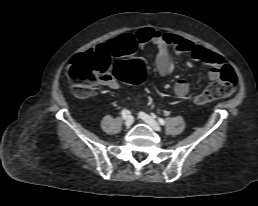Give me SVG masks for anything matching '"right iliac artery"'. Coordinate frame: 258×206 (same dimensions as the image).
Returning a JSON list of instances; mask_svg holds the SVG:
<instances>
[{"label":"right iliac artery","mask_w":258,"mask_h":206,"mask_svg":"<svg viewBox=\"0 0 258 206\" xmlns=\"http://www.w3.org/2000/svg\"><path fill=\"white\" fill-rule=\"evenodd\" d=\"M127 114H128V111H127V110H125V109L122 110L121 115H122L123 119H126Z\"/></svg>","instance_id":"obj_1"}]
</instances>
